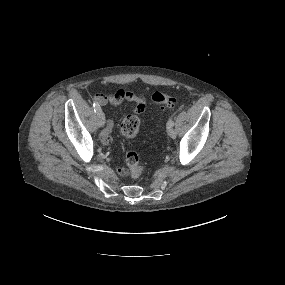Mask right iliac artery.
<instances>
[{"mask_svg": "<svg viewBox=\"0 0 285 285\" xmlns=\"http://www.w3.org/2000/svg\"><path fill=\"white\" fill-rule=\"evenodd\" d=\"M93 107H94L95 113L101 112V108H100V106L98 105V103L94 102V103H93Z\"/></svg>", "mask_w": 285, "mask_h": 285, "instance_id": "82829eb1", "label": "right iliac artery"}]
</instances>
